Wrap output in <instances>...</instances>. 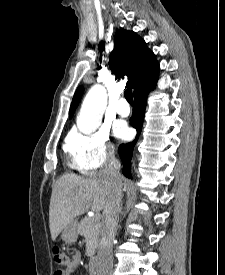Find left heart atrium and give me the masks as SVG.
Wrapping results in <instances>:
<instances>
[{
    "instance_id": "1",
    "label": "left heart atrium",
    "mask_w": 225,
    "mask_h": 275,
    "mask_svg": "<svg viewBox=\"0 0 225 275\" xmlns=\"http://www.w3.org/2000/svg\"><path fill=\"white\" fill-rule=\"evenodd\" d=\"M114 132L118 137L124 138L128 135V129L124 124H117L114 128Z\"/></svg>"
}]
</instances>
